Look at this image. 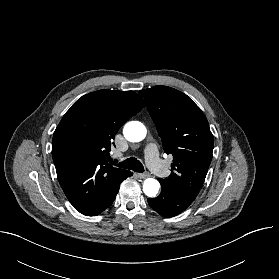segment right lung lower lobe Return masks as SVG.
I'll list each match as a JSON object with an SVG mask.
<instances>
[{"instance_id":"obj_1","label":"right lung lower lobe","mask_w":279,"mask_h":279,"mask_svg":"<svg viewBox=\"0 0 279 279\" xmlns=\"http://www.w3.org/2000/svg\"><path fill=\"white\" fill-rule=\"evenodd\" d=\"M130 176H132V172L129 171L126 175H124V177L119 179L114 185L111 186V188L108 190L103 201L94 210L86 212V213H82V214L87 215V216H96L99 213H101L103 210L108 208L113 203V201L119 191V186H120L121 182Z\"/></svg>"}]
</instances>
